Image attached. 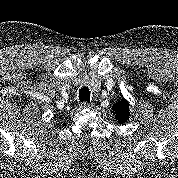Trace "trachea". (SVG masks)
Segmentation results:
<instances>
[{
    "mask_svg": "<svg viewBox=\"0 0 178 178\" xmlns=\"http://www.w3.org/2000/svg\"><path fill=\"white\" fill-rule=\"evenodd\" d=\"M79 100L90 102V90L87 87L84 86L79 90Z\"/></svg>",
    "mask_w": 178,
    "mask_h": 178,
    "instance_id": "obj_1",
    "label": "trachea"
}]
</instances>
